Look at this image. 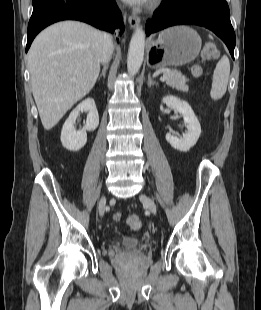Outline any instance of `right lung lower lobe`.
<instances>
[{"instance_id": "98d812e1", "label": "right lung lower lobe", "mask_w": 261, "mask_h": 310, "mask_svg": "<svg viewBox=\"0 0 261 310\" xmlns=\"http://www.w3.org/2000/svg\"><path fill=\"white\" fill-rule=\"evenodd\" d=\"M67 19L80 20L109 32L119 28L120 34L125 29L115 0H33L26 52L42 29Z\"/></svg>"}]
</instances>
